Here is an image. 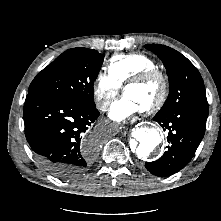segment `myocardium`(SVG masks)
I'll use <instances>...</instances> for the list:
<instances>
[{"label": "myocardium", "mask_w": 221, "mask_h": 221, "mask_svg": "<svg viewBox=\"0 0 221 221\" xmlns=\"http://www.w3.org/2000/svg\"><path fill=\"white\" fill-rule=\"evenodd\" d=\"M153 81L159 83L160 93L158 98L152 104L142 109V112L144 113H154L165 104L169 93L168 81L165 75L158 69H148L131 77L123 85V91L125 92V90L130 86Z\"/></svg>", "instance_id": "1"}]
</instances>
